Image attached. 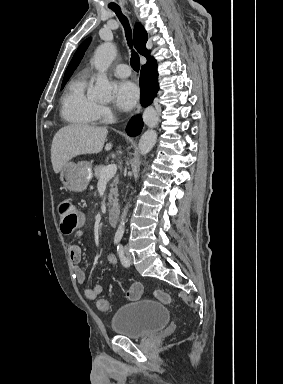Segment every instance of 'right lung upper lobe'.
Instances as JSON below:
<instances>
[{
    "label": "right lung upper lobe",
    "instance_id": "cb5924a9",
    "mask_svg": "<svg viewBox=\"0 0 283 384\" xmlns=\"http://www.w3.org/2000/svg\"><path fill=\"white\" fill-rule=\"evenodd\" d=\"M147 39H148V35L145 29L143 28V26L140 23H136L134 27L135 48L141 55L147 58V63L142 67L156 66L155 59L149 56L150 52L146 49L145 45H146ZM90 41H91V38H88L79 46L78 50L76 51L73 59L71 60L65 72L63 83H66V81L70 78L73 71L76 69V67L80 63L88 45L90 44Z\"/></svg>",
    "mask_w": 283,
    "mask_h": 384
}]
</instances>
